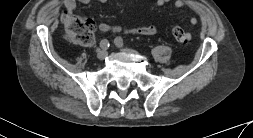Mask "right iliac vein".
<instances>
[{"mask_svg":"<svg viewBox=\"0 0 253 138\" xmlns=\"http://www.w3.org/2000/svg\"><path fill=\"white\" fill-rule=\"evenodd\" d=\"M107 55H108V52H107L106 50H102V51L98 52L97 58H98L100 61H103V60L106 59Z\"/></svg>","mask_w":253,"mask_h":138,"instance_id":"63e3f726","label":"right iliac vein"}]
</instances>
